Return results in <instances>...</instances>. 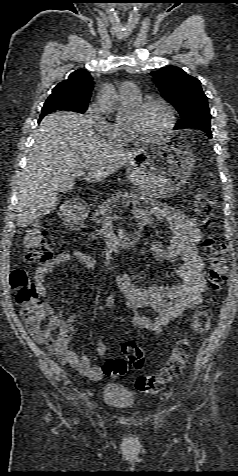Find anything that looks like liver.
<instances>
[{
    "mask_svg": "<svg viewBox=\"0 0 238 476\" xmlns=\"http://www.w3.org/2000/svg\"><path fill=\"white\" fill-rule=\"evenodd\" d=\"M34 138L18 186V227L55 210L59 192L73 188L76 173L88 169L86 180L100 182L144 152L114 149L86 116L70 112L45 116Z\"/></svg>",
    "mask_w": 238,
    "mask_h": 476,
    "instance_id": "obj_1",
    "label": "liver"
}]
</instances>
